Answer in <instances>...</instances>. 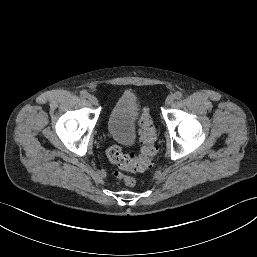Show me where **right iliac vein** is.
Listing matches in <instances>:
<instances>
[{
    "label": "right iliac vein",
    "instance_id": "1",
    "mask_svg": "<svg viewBox=\"0 0 257 257\" xmlns=\"http://www.w3.org/2000/svg\"><path fill=\"white\" fill-rule=\"evenodd\" d=\"M88 99H89V101H90L93 105H95V106L98 105V100H97V98H96L94 95H89V96H88Z\"/></svg>",
    "mask_w": 257,
    "mask_h": 257
}]
</instances>
